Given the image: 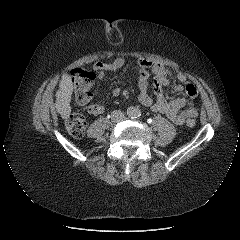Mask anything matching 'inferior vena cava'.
<instances>
[{
    "instance_id": "obj_1",
    "label": "inferior vena cava",
    "mask_w": 240,
    "mask_h": 240,
    "mask_svg": "<svg viewBox=\"0 0 240 240\" xmlns=\"http://www.w3.org/2000/svg\"><path fill=\"white\" fill-rule=\"evenodd\" d=\"M111 119L115 123H120V122H123L125 120V115L122 111L115 110L111 114Z\"/></svg>"
}]
</instances>
